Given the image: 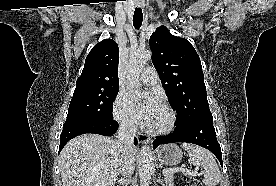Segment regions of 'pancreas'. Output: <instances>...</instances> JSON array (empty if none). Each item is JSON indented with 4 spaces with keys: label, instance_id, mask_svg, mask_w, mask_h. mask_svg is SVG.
<instances>
[{
    "label": "pancreas",
    "instance_id": "obj_1",
    "mask_svg": "<svg viewBox=\"0 0 276 186\" xmlns=\"http://www.w3.org/2000/svg\"><path fill=\"white\" fill-rule=\"evenodd\" d=\"M165 183H166V186H174L173 176L172 175L166 176L165 177Z\"/></svg>",
    "mask_w": 276,
    "mask_h": 186
}]
</instances>
